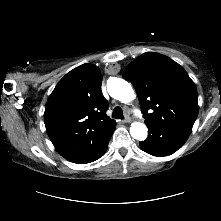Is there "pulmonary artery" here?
<instances>
[{
	"instance_id": "pulmonary-artery-1",
	"label": "pulmonary artery",
	"mask_w": 221,
	"mask_h": 221,
	"mask_svg": "<svg viewBox=\"0 0 221 221\" xmlns=\"http://www.w3.org/2000/svg\"><path fill=\"white\" fill-rule=\"evenodd\" d=\"M134 112L139 116V113L136 110Z\"/></svg>"
}]
</instances>
